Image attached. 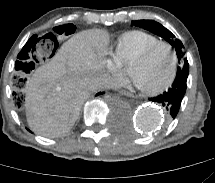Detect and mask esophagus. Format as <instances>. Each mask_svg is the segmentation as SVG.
Wrapping results in <instances>:
<instances>
[{"instance_id": "esophagus-1", "label": "esophagus", "mask_w": 215, "mask_h": 183, "mask_svg": "<svg viewBox=\"0 0 215 183\" xmlns=\"http://www.w3.org/2000/svg\"><path fill=\"white\" fill-rule=\"evenodd\" d=\"M120 95H124V96H128L131 97L132 96V91L128 90V89H122L119 92Z\"/></svg>"}]
</instances>
